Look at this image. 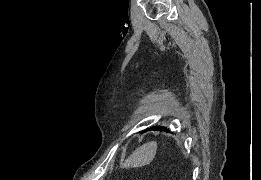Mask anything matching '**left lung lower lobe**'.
I'll return each mask as SVG.
<instances>
[{
	"label": "left lung lower lobe",
	"instance_id": "left-lung-lower-lobe-1",
	"mask_svg": "<svg viewBox=\"0 0 261 180\" xmlns=\"http://www.w3.org/2000/svg\"><path fill=\"white\" fill-rule=\"evenodd\" d=\"M151 129H154V130H157V129H159V130H166L165 127L158 126V127H152V128L146 129V131L151 130Z\"/></svg>",
	"mask_w": 261,
	"mask_h": 180
}]
</instances>
